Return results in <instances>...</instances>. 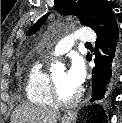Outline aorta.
Here are the masks:
<instances>
[{
	"instance_id": "aorta-1",
	"label": "aorta",
	"mask_w": 122,
	"mask_h": 123,
	"mask_svg": "<svg viewBox=\"0 0 122 123\" xmlns=\"http://www.w3.org/2000/svg\"><path fill=\"white\" fill-rule=\"evenodd\" d=\"M57 67H59V63H56V64H52L51 65V69H54V68H57Z\"/></svg>"
}]
</instances>
